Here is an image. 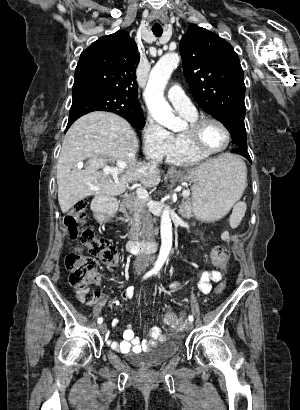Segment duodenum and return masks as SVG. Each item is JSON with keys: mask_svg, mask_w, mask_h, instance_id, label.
Listing matches in <instances>:
<instances>
[{"mask_svg": "<svg viewBox=\"0 0 300 410\" xmlns=\"http://www.w3.org/2000/svg\"><path fill=\"white\" fill-rule=\"evenodd\" d=\"M113 209L114 202L109 198L102 197L93 201V214L100 222L105 221L106 217L113 211ZM125 247L131 253L149 255L155 251L156 245L155 243L145 244L144 241L131 238L125 243Z\"/></svg>", "mask_w": 300, "mask_h": 410, "instance_id": "410a0bca", "label": "duodenum"}]
</instances>
